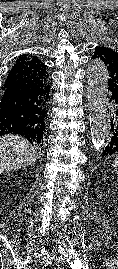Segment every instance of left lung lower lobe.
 Listing matches in <instances>:
<instances>
[{"mask_svg":"<svg viewBox=\"0 0 118 269\" xmlns=\"http://www.w3.org/2000/svg\"><path fill=\"white\" fill-rule=\"evenodd\" d=\"M109 102L112 106L109 110L107 137L101 148L102 157L118 154V97L111 96Z\"/></svg>","mask_w":118,"mask_h":269,"instance_id":"obj_1","label":"left lung lower lobe"}]
</instances>
